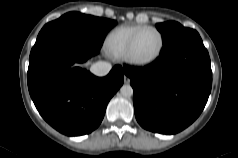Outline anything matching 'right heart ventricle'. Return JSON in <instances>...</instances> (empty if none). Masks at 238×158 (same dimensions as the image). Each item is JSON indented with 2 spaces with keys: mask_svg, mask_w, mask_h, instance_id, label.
<instances>
[{
  "mask_svg": "<svg viewBox=\"0 0 238 158\" xmlns=\"http://www.w3.org/2000/svg\"><path fill=\"white\" fill-rule=\"evenodd\" d=\"M143 25H123L111 31L105 40L106 51L116 57H124L133 35Z\"/></svg>",
  "mask_w": 238,
  "mask_h": 158,
  "instance_id": "obj_1",
  "label": "right heart ventricle"
}]
</instances>
